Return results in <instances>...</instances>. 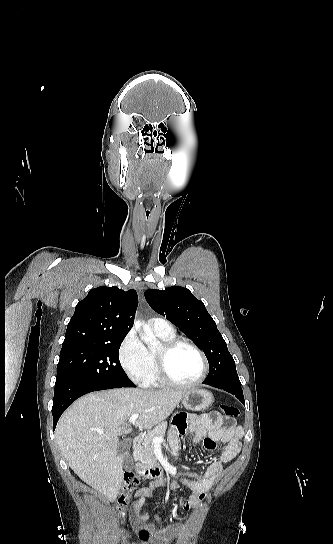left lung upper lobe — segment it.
I'll return each mask as SVG.
<instances>
[{
  "label": "left lung upper lobe",
  "mask_w": 333,
  "mask_h": 544,
  "mask_svg": "<svg viewBox=\"0 0 333 544\" xmlns=\"http://www.w3.org/2000/svg\"><path fill=\"white\" fill-rule=\"evenodd\" d=\"M145 298L154 311L166 317L202 348L209 362V374L204 382L240 383L234 359L215 321L204 303L190 290L180 286L150 289L145 292Z\"/></svg>",
  "instance_id": "1"
}]
</instances>
